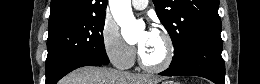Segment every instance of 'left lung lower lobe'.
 <instances>
[{"instance_id":"1","label":"left lung lower lobe","mask_w":260,"mask_h":84,"mask_svg":"<svg viewBox=\"0 0 260 84\" xmlns=\"http://www.w3.org/2000/svg\"><path fill=\"white\" fill-rule=\"evenodd\" d=\"M222 39L208 37L193 43L180 60L160 73L163 76H200L225 84V65L221 56Z\"/></svg>"}]
</instances>
